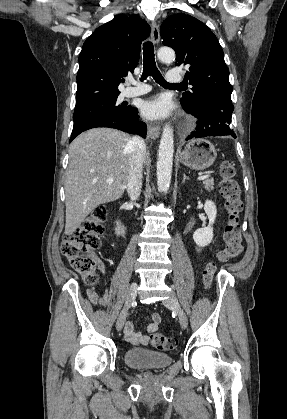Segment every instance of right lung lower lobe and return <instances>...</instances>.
Segmentation results:
<instances>
[{
    "mask_svg": "<svg viewBox=\"0 0 287 419\" xmlns=\"http://www.w3.org/2000/svg\"><path fill=\"white\" fill-rule=\"evenodd\" d=\"M138 110L132 108L131 112L126 115H97L88 118L76 126H73L70 142L80 133L91 128L109 127L122 130L127 133H134L146 137V124L139 121Z\"/></svg>",
    "mask_w": 287,
    "mask_h": 419,
    "instance_id": "98d812e1",
    "label": "right lung lower lobe"
}]
</instances>
